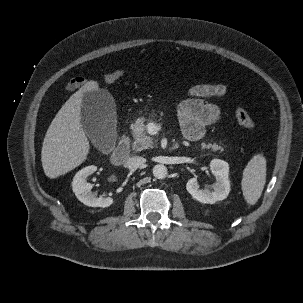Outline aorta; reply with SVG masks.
Listing matches in <instances>:
<instances>
[{"instance_id": "762f6f07", "label": "aorta", "mask_w": 303, "mask_h": 303, "mask_svg": "<svg viewBox=\"0 0 303 303\" xmlns=\"http://www.w3.org/2000/svg\"><path fill=\"white\" fill-rule=\"evenodd\" d=\"M167 167L162 164H157L153 167V175L157 179H164L167 176Z\"/></svg>"}]
</instances>
